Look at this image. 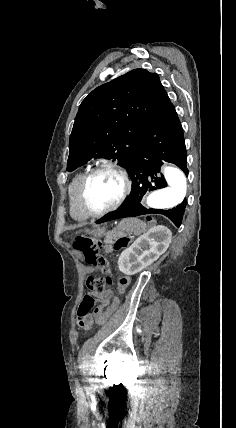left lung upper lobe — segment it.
<instances>
[{
    "mask_svg": "<svg viewBox=\"0 0 236 428\" xmlns=\"http://www.w3.org/2000/svg\"><path fill=\"white\" fill-rule=\"evenodd\" d=\"M171 105L159 76L134 69L93 90L81 103L69 143L67 171L92 158L127 168L144 129Z\"/></svg>",
    "mask_w": 236,
    "mask_h": 428,
    "instance_id": "5c2ea615",
    "label": "left lung upper lobe"
}]
</instances>
